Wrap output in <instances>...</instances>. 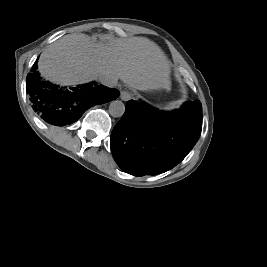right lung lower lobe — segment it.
Masks as SVG:
<instances>
[{"label":"right lung lower lobe","instance_id":"obj_1","mask_svg":"<svg viewBox=\"0 0 267 267\" xmlns=\"http://www.w3.org/2000/svg\"><path fill=\"white\" fill-rule=\"evenodd\" d=\"M26 90L33 110L44 121L56 126L74 123L90 107L112 101L120 94L117 89L94 83L59 88L42 81L38 72L27 75Z\"/></svg>","mask_w":267,"mask_h":267}]
</instances>
